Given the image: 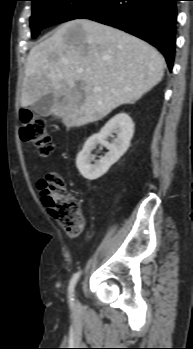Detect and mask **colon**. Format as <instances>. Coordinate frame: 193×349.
Segmentation results:
<instances>
[{"mask_svg": "<svg viewBox=\"0 0 193 349\" xmlns=\"http://www.w3.org/2000/svg\"><path fill=\"white\" fill-rule=\"evenodd\" d=\"M20 136L24 141L32 142L42 155H49L53 150L45 123L29 110L20 112ZM40 189L43 204L61 228L68 235H79L84 227L81 205L67 192L61 175L47 173L40 181Z\"/></svg>", "mask_w": 193, "mask_h": 349, "instance_id": "obj_1", "label": "colon"}]
</instances>
